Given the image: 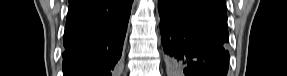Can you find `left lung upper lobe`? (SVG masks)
I'll use <instances>...</instances> for the list:
<instances>
[{"label":"left lung upper lobe","mask_w":287,"mask_h":76,"mask_svg":"<svg viewBox=\"0 0 287 76\" xmlns=\"http://www.w3.org/2000/svg\"><path fill=\"white\" fill-rule=\"evenodd\" d=\"M221 2H223L225 4V0H220Z\"/></svg>","instance_id":"left-lung-upper-lobe-1"}]
</instances>
